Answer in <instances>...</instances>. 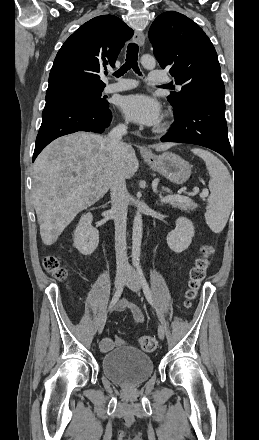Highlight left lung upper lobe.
Returning <instances> with one entry per match:
<instances>
[{
	"mask_svg": "<svg viewBox=\"0 0 259 440\" xmlns=\"http://www.w3.org/2000/svg\"><path fill=\"white\" fill-rule=\"evenodd\" d=\"M149 39L156 59L168 69L180 92L167 97L175 113H181L187 102L201 94L224 98L216 50L205 32L191 19L175 11L159 15L149 29Z\"/></svg>",
	"mask_w": 259,
	"mask_h": 440,
	"instance_id": "1",
	"label": "left lung upper lobe"
}]
</instances>
